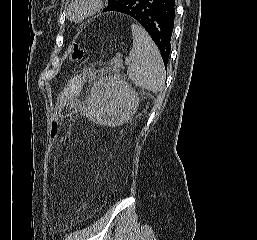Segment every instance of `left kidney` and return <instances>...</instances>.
<instances>
[{"label":"left kidney","instance_id":"left-kidney-1","mask_svg":"<svg viewBox=\"0 0 257 240\" xmlns=\"http://www.w3.org/2000/svg\"><path fill=\"white\" fill-rule=\"evenodd\" d=\"M135 90L119 76L104 78L92 90L89 118L96 124L119 126L137 110Z\"/></svg>","mask_w":257,"mask_h":240}]
</instances>
